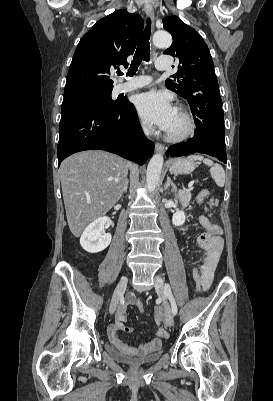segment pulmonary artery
<instances>
[{
  "instance_id": "e3ab8cb5",
  "label": "pulmonary artery",
  "mask_w": 273,
  "mask_h": 401,
  "mask_svg": "<svg viewBox=\"0 0 273 401\" xmlns=\"http://www.w3.org/2000/svg\"><path fill=\"white\" fill-rule=\"evenodd\" d=\"M156 63L158 65V69L160 72H167L169 69V66L167 64V60L165 57H158L156 60ZM154 80V77L149 74H138L136 76V80H131L130 82L128 80H120L118 83V86L120 89H123V91H131L137 89H145L148 86L149 82H152ZM130 87V88H129Z\"/></svg>"
}]
</instances>
